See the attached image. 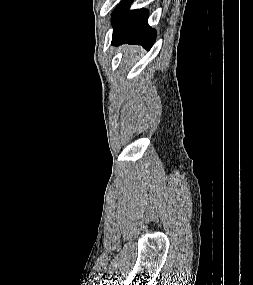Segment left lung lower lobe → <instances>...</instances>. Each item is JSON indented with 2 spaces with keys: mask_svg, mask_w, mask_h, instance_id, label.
<instances>
[{
  "mask_svg": "<svg viewBox=\"0 0 253 285\" xmlns=\"http://www.w3.org/2000/svg\"><path fill=\"white\" fill-rule=\"evenodd\" d=\"M132 0H123L113 13L112 44H139L150 49L156 39V31L147 22L145 9L129 10Z\"/></svg>",
  "mask_w": 253,
  "mask_h": 285,
  "instance_id": "0a47b994",
  "label": "left lung lower lobe"
}]
</instances>
